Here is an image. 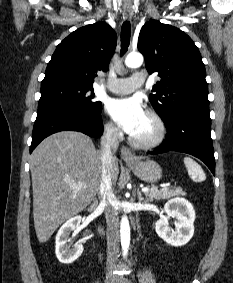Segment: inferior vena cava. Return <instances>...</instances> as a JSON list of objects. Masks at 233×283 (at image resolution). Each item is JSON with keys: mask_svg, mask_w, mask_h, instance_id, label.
Wrapping results in <instances>:
<instances>
[{"mask_svg": "<svg viewBox=\"0 0 233 283\" xmlns=\"http://www.w3.org/2000/svg\"><path fill=\"white\" fill-rule=\"evenodd\" d=\"M102 177L98 192L100 205L104 207L107 222V265L114 266L119 252V217L116 211V197L113 192L111 167L113 155L118 149V130L107 126L101 137Z\"/></svg>", "mask_w": 233, "mask_h": 283, "instance_id": "1", "label": "inferior vena cava"}]
</instances>
